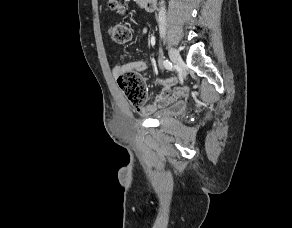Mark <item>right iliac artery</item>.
I'll use <instances>...</instances> for the list:
<instances>
[{
	"mask_svg": "<svg viewBox=\"0 0 292 228\" xmlns=\"http://www.w3.org/2000/svg\"><path fill=\"white\" fill-rule=\"evenodd\" d=\"M162 64L168 70H173L174 69L173 64L169 60H163Z\"/></svg>",
	"mask_w": 292,
	"mask_h": 228,
	"instance_id": "obj_1",
	"label": "right iliac artery"
}]
</instances>
